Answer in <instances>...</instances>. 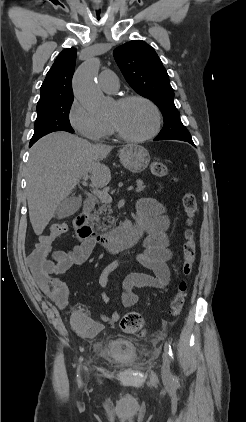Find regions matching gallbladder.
<instances>
[{
  "label": "gallbladder",
  "mask_w": 246,
  "mask_h": 422,
  "mask_svg": "<svg viewBox=\"0 0 246 422\" xmlns=\"http://www.w3.org/2000/svg\"><path fill=\"white\" fill-rule=\"evenodd\" d=\"M81 199L78 197H67L58 206L55 217L58 219L66 218L76 213L81 207Z\"/></svg>",
  "instance_id": "obj_1"
}]
</instances>
